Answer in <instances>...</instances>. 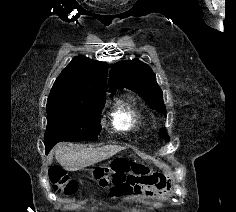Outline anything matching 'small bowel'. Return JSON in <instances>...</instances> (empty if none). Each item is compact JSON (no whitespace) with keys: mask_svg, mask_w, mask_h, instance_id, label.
<instances>
[{"mask_svg":"<svg viewBox=\"0 0 236 212\" xmlns=\"http://www.w3.org/2000/svg\"><path fill=\"white\" fill-rule=\"evenodd\" d=\"M142 171V169H140ZM118 175L112 190H108V202H119L125 198V202H135L138 195L144 194L148 197L158 198L169 191L168 179L163 174L145 175Z\"/></svg>","mask_w":236,"mask_h":212,"instance_id":"c3829d8e","label":"small bowel"}]
</instances>
